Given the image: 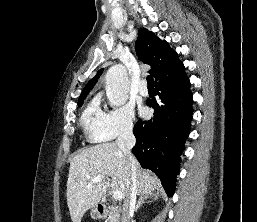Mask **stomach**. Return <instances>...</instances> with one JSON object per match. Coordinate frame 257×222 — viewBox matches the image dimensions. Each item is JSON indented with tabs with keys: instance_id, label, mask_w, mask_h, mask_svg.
Segmentation results:
<instances>
[{
	"instance_id": "1",
	"label": "stomach",
	"mask_w": 257,
	"mask_h": 222,
	"mask_svg": "<svg viewBox=\"0 0 257 222\" xmlns=\"http://www.w3.org/2000/svg\"><path fill=\"white\" fill-rule=\"evenodd\" d=\"M91 217L93 218V219H97V218H99L100 217V215H99V213L97 212V210L95 209V208H92L91 209Z\"/></svg>"
}]
</instances>
